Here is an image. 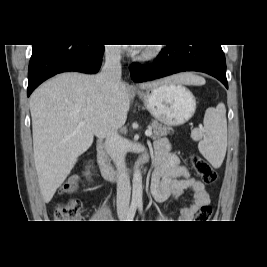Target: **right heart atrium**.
<instances>
[{
  "mask_svg": "<svg viewBox=\"0 0 267 267\" xmlns=\"http://www.w3.org/2000/svg\"><path fill=\"white\" fill-rule=\"evenodd\" d=\"M109 55L111 56V57H114L115 55H116V52L115 51H109Z\"/></svg>",
  "mask_w": 267,
  "mask_h": 267,
  "instance_id": "1",
  "label": "right heart atrium"
}]
</instances>
